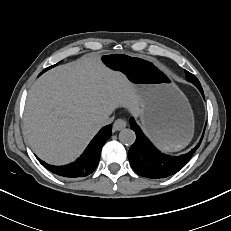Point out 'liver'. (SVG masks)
Returning a JSON list of instances; mask_svg holds the SVG:
<instances>
[{"mask_svg": "<svg viewBox=\"0 0 231 231\" xmlns=\"http://www.w3.org/2000/svg\"><path fill=\"white\" fill-rule=\"evenodd\" d=\"M142 113L134 86L102 64L98 54L57 66L29 90L23 130L36 155L62 165L75 160L101 128L99 121L117 107Z\"/></svg>", "mask_w": 231, "mask_h": 231, "instance_id": "liver-1", "label": "liver"}]
</instances>
